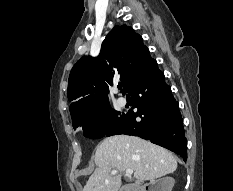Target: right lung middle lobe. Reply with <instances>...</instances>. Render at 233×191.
<instances>
[{
  "label": "right lung middle lobe",
  "instance_id": "dd1d6c3e",
  "mask_svg": "<svg viewBox=\"0 0 233 191\" xmlns=\"http://www.w3.org/2000/svg\"><path fill=\"white\" fill-rule=\"evenodd\" d=\"M124 113L113 110L104 103L72 117L73 128L82 127L85 137L98 139L106 136L121 120Z\"/></svg>",
  "mask_w": 233,
  "mask_h": 191
}]
</instances>
